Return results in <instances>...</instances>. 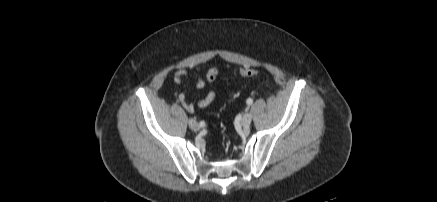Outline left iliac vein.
I'll use <instances>...</instances> for the list:
<instances>
[{
    "mask_svg": "<svg viewBox=\"0 0 437 202\" xmlns=\"http://www.w3.org/2000/svg\"><path fill=\"white\" fill-rule=\"evenodd\" d=\"M252 121V116L249 113H246L243 115L242 120H241V124L244 127H249V125L251 124Z\"/></svg>",
    "mask_w": 437,
    "mask_h": 202,
    "instance_id": "1",
    "label": "left iliac vein"
}]
</instances>
